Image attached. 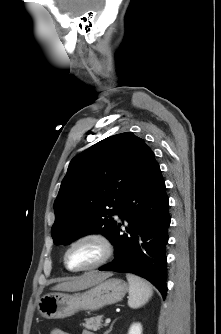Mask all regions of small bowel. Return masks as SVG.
Listing matches in <instances>:
<instances>
[{"label": "small bowel", "mask_w": 221, "mask_h": 334, "mask_svg": "<svg viewBox=\"0 0 221 334\" xmlns=\"http://www.w3.org/2000/svg\"><path fill=\"white\" fill-rule=\"evenodd\" d=\"M50 334H70V333H68V332H66V331H64L60 328H54V329L51 330ZM82 334H94V333H92L91 331H88V330H84L82 332Z\"/></svg>", "instance_id": "1"}]
</instances>
